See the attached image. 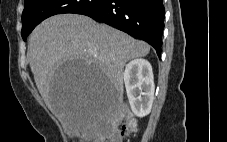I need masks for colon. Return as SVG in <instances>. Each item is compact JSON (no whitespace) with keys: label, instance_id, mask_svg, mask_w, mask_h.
Returning <instances> with one entry per match:
<instances>
[{"label":"colon","instance_id":"5ec220e1","mask_svg":"<svg viewBox=\"0 0 227 142\" xmlns=\"http://www.w3.org/2000/svg\"><path fill=\"white\" fill-rule=\"evenodd\" d=\"M136 130V121L132 117H126L119 127L116 121L106 124L97 142H121L123 137Z\"/></svg>","mask_w":227,"mask_h":142}]
</instances>
